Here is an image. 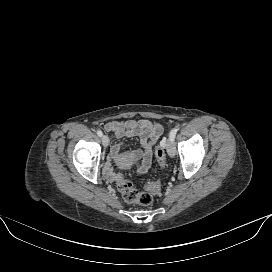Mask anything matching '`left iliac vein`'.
Masks as SVG:
<instances>
[{"mask_svg":"<svg viewBox=\"0 0 272 272\" xmlns=\"http://www.w3.org/2000/svg\"><path fill=\"white\" fill-rule=\"evenodd\" d=\"M166 149L168 154L173 157L176 153L175 146H174V141L171 139H168L166 142Z\"/></svg>","mask_w":272,"mask_h":272,"instance_id":"left-iliac-vein-1","label":"left iliac vein"}]
</instances>
